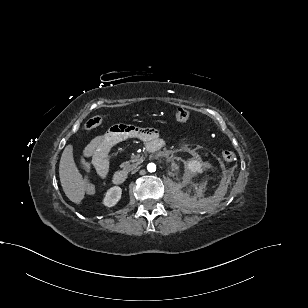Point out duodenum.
I'll list each match as a JSON object with an SVG mask.
<instances>
[{
  "mask_svg": "<svg viewBox=\"0 0 308 308\" xmlns=\"http://www.w3.org/2000/svg\"><path fill=\"white\" fill-rule=\"evenodd\" d=\"M161 147L162 144L159 141L153 140L144 147V150L147 153H153L156 150H159ZM126 179H127V173L123 170L116 171L112 177V181L116 185L123 184L126 181Z\"/></svg>",
  "mask_w": 308,
  "mask_h": 308,
  "instance_id": "410a0bca",
  "label": "duodenum"
}]
</instances>
